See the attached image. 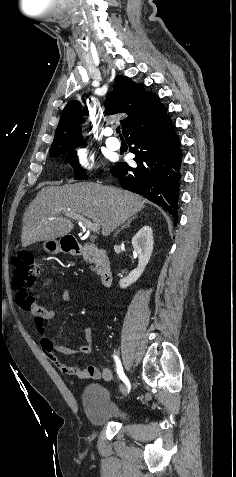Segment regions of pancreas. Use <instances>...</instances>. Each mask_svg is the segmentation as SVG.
Wrapping results in <instances>:
<instances>
[{
	"instance_id": "pancreas-1",
	"label": "pancreas",
	"mask_w": 236,
	"mask_h": 477,
	"mask_svg": "<svg viewBox=\"0 0 236 477\" xmlns=\"http://www.w3.org/2000/svg\"><path fill=\"white\" fill-rule=\"evenodd\" d=\"M84 259L86 262H89L91 264H94L91 269L97 273H101V259L99 252L91 245H86L85 246V254H84Z\"/></svg>"
}]
</instances>
